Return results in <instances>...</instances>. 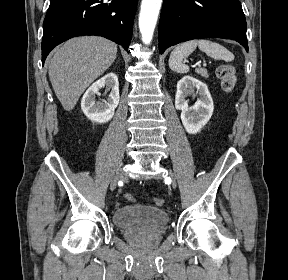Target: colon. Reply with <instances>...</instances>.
I'll list each match as a JSON object with an SVG mask.
<instances>
[{
  "mask_svg": "<svg viewBox=\"0 0 288 280\" xmlns=\"http://www.w3.org/2000/svg\"><path fill=\"white\" fill-rule=\"evenodd\" d=\"M216 75L220 80V85L224 92L230 93L234 90L236 85V76L233 66L229 64H220L216 68ZM153 201L157 206H162L164 204L162 198H154Z\"/></svg>",
  "mask_w": 288,
  "mask_h": 280,
  "instance_id": "obj_1",
  "label": "colon"
}]
</instances>
